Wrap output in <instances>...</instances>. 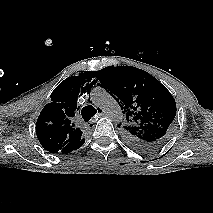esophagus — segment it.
I'll return each instance as SVG.
<instances>
[{"label": "esophagus", "mask_w": 213, "mask_h": 213, "mask_svg": "<svg viewBox=\"0 0 213 213\" xmlns=\"http://www.w3.org/2000/svg\"><path fill=\"white\" fill-rule=\"evenodd\" d=\"M102 116H104V112H103V110H102L101 108H98V113H97V115L94 117V119H92V120L90 121L89 125H93V124L96 122V120H97L98 118L102 117Z\"/></svg>", "instance_id": "1"}]
</instances>
